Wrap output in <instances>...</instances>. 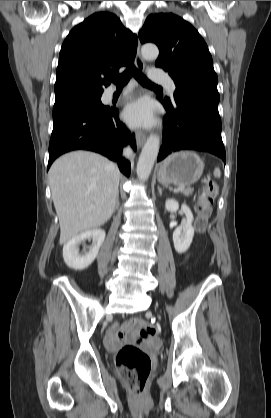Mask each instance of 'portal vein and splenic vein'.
<instances>
[{"label":"portal vein and splenic vein","instance_id":"1","mask_svg":"<svg viewBox=\"0 0 271 418\" xmlns=\"http://www.w3.org/2000/svg\"><path fill=\"white\" fill-rule=\"evenodd\" d=\"M178 191H179V188H175V189H174V192H178Z\"/></svg>","mask_w":271,"mask_h":418}]
</instances>
